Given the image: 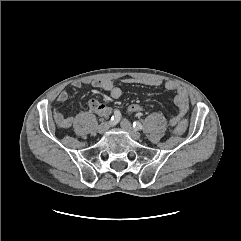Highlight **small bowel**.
<instances>
[{
  "label": "small bowel",
  "mask_w": 241,
  "mask_h": 241,
  "mask_svg": "<svg viewBox=\"0 0 241 241\" xmlns=\"http://www.w3.org/2000/svg\"><path fill=\"white\" fill-rule=\"evenodd\" d=\"M123 83L125 84H145L153 87L161 86L163 82L159 79H136V78H125L123 79ZM83 85H91L96 89L104 90L110 93V96L113 99H118L122 95V90L120 87L114 85L111 80L108 79H84V80H75L72 82V87L81 88ZM164 86L167 90L173 91L176 93L174 102L177 106L178 113L175 117H173L170 121L172 126L182 119L183 116L189 110V98L186 90L178 85L174 81H167L164 83ZM68 99L67 91H62L57 97L58 106L54 110V118L56 124L60 128H69L72 126L74 122V118L71 116H64L61 112L60 105L65 103ZM88 111L97 113L102 117H107L111 110L105 104H103L98 98H92L88 103Z\"/></svg>",
  "instance_id": "1"
}]
</instances>
